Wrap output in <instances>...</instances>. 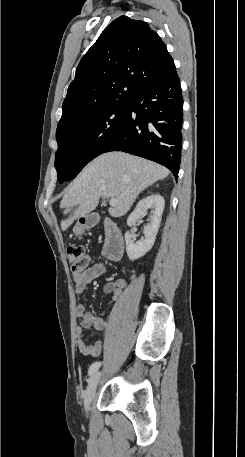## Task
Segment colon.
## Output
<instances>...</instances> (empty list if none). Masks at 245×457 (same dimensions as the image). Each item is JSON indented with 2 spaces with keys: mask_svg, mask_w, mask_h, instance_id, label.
Segmentation results:
<instances>
[{
  "mask_svg": "<svg viewBox=\"0 0 245 457\" xmlns=\"http://www.w3.org/2000/svg\"><path fill=\"white\" fill-rule=\"evenodd\" d=\"M67 255L74 271H83L87 267L88 256L83 246H69L67 249Z\"/></svg>",
  "mask_w": 245,
  "mask_h": 457,
  "instance_id": "1",
  "label": "colon"
}]
</instances>
